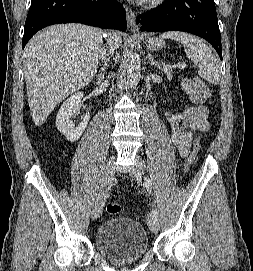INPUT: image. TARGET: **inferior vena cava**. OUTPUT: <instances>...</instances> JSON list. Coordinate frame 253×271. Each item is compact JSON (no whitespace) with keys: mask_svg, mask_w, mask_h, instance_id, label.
I'll return each mask as SVG.
<instances>
[{"mask_svg":"<svg viewBox=\"0 0 253 271\" xmlns=\"http://www.w3.org/2000/svg\"><path fill=\"white\" fill-rule=\"evenodd\" d=\"M110 53H112V51H110ZM106 55H107V54H106V51H102V52H101L100 58L102 59V61H103V60H104V61H107V60H106Z\"/></svg>","mask_w":253,"mask_h":271,"instance_id":"602c4592","label":"inferior vena cava"}]
</instances>
